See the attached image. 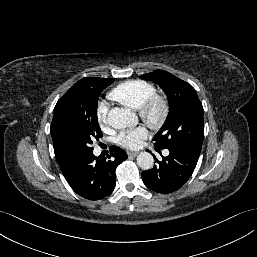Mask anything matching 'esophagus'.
I'll list each match as a JSON object with an SVG mask.
<instances>
[{
	"mask_svg": "<svg viewBox=\"0 0 257 257\" xmlns=\"http://www.w3.org/2000/svg\"><path fill=\"white\" fill-rule=\"evenodd\" d=\"M127 154H128L129 156L135 157V156H137V155L139 154V152H127Z\"/></svg>",
	"mask_w": 257,
	"mask_h": 257,
	"instance_id": "1",
	"label": "esophagus"
}]
</instances>
